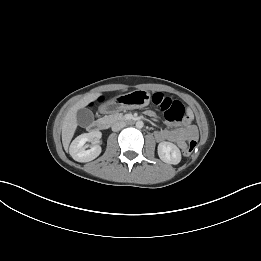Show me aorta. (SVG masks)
Instances as JSON below:
<instances>
[{
    "label": "aorta",
    "mask_w": 261,
    "mask_h": 261,
    "mask_svg": "<svg viewBox=\"0 0 261 261\" xmlns=\"http://www.w3.org/2000/svg\"><path fill=\"white\" fill-rule=\"evenodd\" d=\"M143 125H144V123H143L142 121H137V122H136V127H137L138 129H141V128L143 127Z\"/></svg>",
    "instance_id": "762f6f07"
}]
</instances>
